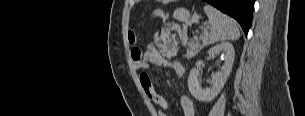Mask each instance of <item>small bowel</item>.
Masks as SVG:
<instances>
[{
	"label": "small bowel",
	"mask_w": 305,
	"mask_h": 116,
	"mask_svg": "<svg viewBox=\"0 0 305 116\" xmlns=\"http://www.w3.org/2000/svg\"><path fill=\"white\" fill-rule=\"evenodd\" d=\"M131 59L136 70H146L151 64H153L165 68H171L178 75H182L184 73V68L179 62L167 59L153 44H149L144 53H142L139 49L132 50ZM140 82L144 93L149 100L164 109H169V102L164 96L156 91L149 75L148 78H142L140 76ZM179 104L184 116H195V107L190 97L181 96L179 98ZM159 116H167V114L160 112Z\"/></svg>",
	"instance_id": "obj_1"
}]
</instances>
